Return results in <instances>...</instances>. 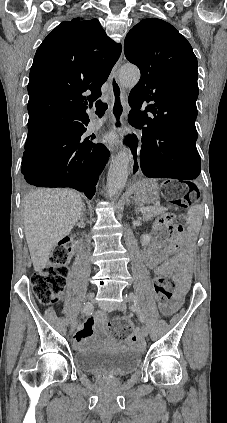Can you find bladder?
Here are the masks:
<instances>
[{"mask_svg": "<svg viewBox=\"0 0 227 423\" xmlns=\"http://www.w3.org/2000/svg\"><path fill=\"white\" fill-rule=\"evenodd\" d=\"M142 352L137 349L100 351L83 350L73 354L74 365L87 375L109 378H126L142 362Z\"/></svg>", "mask_w": 227, "mask_h": 423, "instance_id": "obj_1", "label": "bladder"}]
</instances>
